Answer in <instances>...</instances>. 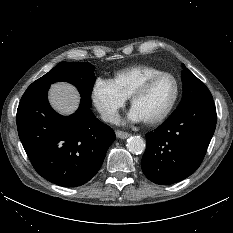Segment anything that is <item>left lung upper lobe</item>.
I'll return each mask as SVG.
<instances>
[{"label":"left lung upper lobe","mask_w":233,"mask_h":233,"mask_svg":"<svg viewBox=\"0 0 233 233\" xmlns=\"http://www.w3.org/2000/svg\"><path fill=\"white\" fill-rule=\"evenodd\" d=\"M181 78L183 83L182 99L173 113H177L196 102L212 99L207 87L189 69L185 68L182 71Z\"/></svg>","instance_id":"obj_1"}]
</instances>
